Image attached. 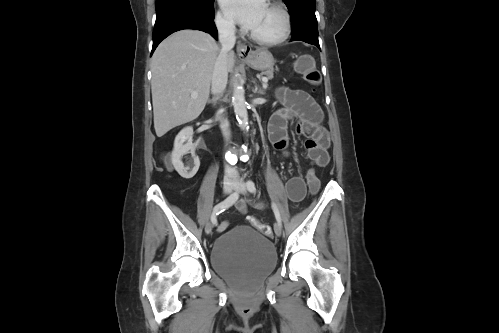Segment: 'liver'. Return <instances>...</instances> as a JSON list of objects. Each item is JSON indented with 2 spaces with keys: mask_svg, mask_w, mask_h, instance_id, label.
I'll return each instance as SVG.
<instances>
[{
  "mask_svg": "<svg viewBox=\"0 0 499 333\" xmlns=\"http://www.w3.org/2000/svg\"><path fill=\"white\" fill-rule=\"evenodd\" d=\"M219 52L209 34L191 29L173 33L157 47L151 60V92L158 137L195 120L204 110ZM234 61L235 54L229 51L228 71ZM193 91L196 98L191 97Z\"/></svg>",
  "mask_w": 499,
  "mask_h": 333,
  "instance_id": "liver-1",
  "label": "liver"
}]
</instances>
